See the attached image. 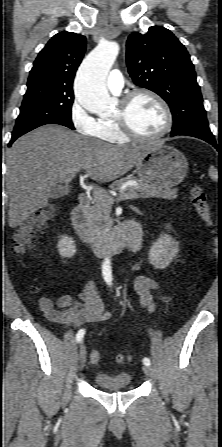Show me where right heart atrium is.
<instances>
[{
    "label": "right heart atrium",
    "instance_id": "d8ad5b80",
    "mask_svg": "<svg viewBox=\"0 0 222 447\" xmlns=\"http://www.w3.org/2000/svg\"><path fill=\"white\" fill-rule=\"evenodd\" d=\"M70 119L74 129L78 133L82 135H94L97 122L78 102H75L70 108Z\"/></svg>",
    "mask_w": 222,
    "mask_h": 447
}]
</instances>
